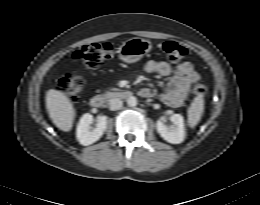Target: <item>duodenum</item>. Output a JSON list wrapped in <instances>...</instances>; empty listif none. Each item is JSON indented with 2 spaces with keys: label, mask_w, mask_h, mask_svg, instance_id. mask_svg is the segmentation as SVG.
I'll return each mask as SVG.
<instances>
[{
  "label": "duodenum",
  "mask_w": 260,
  "mask_h": 205,
  "mask_svg": "<svg viewBox=\"0 0 260 205\" xmlns=\"http://www.w3.org/2000/svg\"><path fill=\"white\" fill-rule=\"evenodd\" d=\"M133 95V92L126 89L112 90L104 94H97L90 98V105L94 108H101L110 99H127Z\"/></svg>",
  "instance_id": "duodenum-1"
}]
</instances>
